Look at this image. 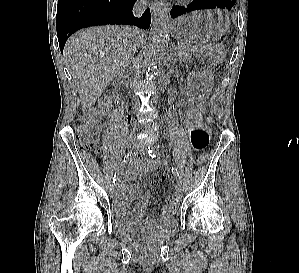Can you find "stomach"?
<instances>
[{
    "label": "stomach",
    "instance_id": "obj_1",
    "mask_svg": "<svg viewBox=\"0 0 299 273\" xmlns=\"http://www.w3.org/2000/svg\"><path fill=\"white\" fill-rule=\"evenodd\" d=\"M230 26L229 18L220 10L197 11L176 19L171 25L175 39L183 43H207L218 40ZM210 82L206 73L191 75L190 87L199 98L205 95Z\"/></svg>",
    "mask_w": 299,
    "mask_h": 273
}]
</instances>
